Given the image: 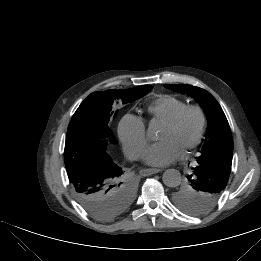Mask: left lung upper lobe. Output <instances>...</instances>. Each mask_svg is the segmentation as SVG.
Segmentation results:
<instances>
[{
  "label": "left lung upper lobe",
  "mask_w": 261,
  "mask_h": 261,
  "mask_svg": "<svg viewBox=\"0 0 261 261\" xmlns=\"http://www.w3.org/2000/svg\"><path fill=\"white\" fill-rule=\"evenodd\" d=\"M164 87L193 97L208 120L206 138L196 158V167L172 195L180 209L202 215L217 204L230 176L233 138L229 123L217 100L206 90L185 84H167Z\"/></svg>",
  "instance_id": "left-lung-upper-lobe-1"
}]
</instances>
